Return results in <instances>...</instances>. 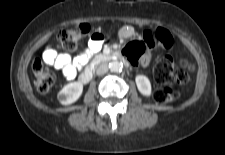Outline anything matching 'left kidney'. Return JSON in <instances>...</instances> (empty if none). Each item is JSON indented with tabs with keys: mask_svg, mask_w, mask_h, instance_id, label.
Wrapping results in <instances>:
<instances>
[{
	"mask_svg": "<svg viewBox=\"0 0 225 155\" xmlns=\"http://www.w3.org/2000/svg\"><path fill=\"white\" fill-rule=\"evenodd\" d=\"M137 88L139 92L144 96L151 95V83L149 79L144 75H137L135 78Z\"/></svg>",
	"mask_w": 225,
	"mask_h": 155,
	"instance_id": "obj_1",
	"label": "left kidney"
}]
</instances>
